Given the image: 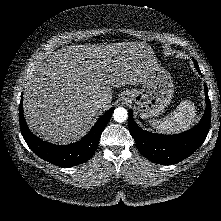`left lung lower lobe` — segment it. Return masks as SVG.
<instances>
[{
	"label": "left lung lower lobe",
	"mask_w": 221,
	"mask_h": 221,
	"mask_svg": "<svg viewBox=\"0 0 221 221\" xmlns=\"http://www.w3.org/2000/svg\"><path fill=\"white\" fill-rule=\"evenodd\" d=\"M198 71L199 67H196ZM206 111L194 128L176 135H162L141 129L129 110L128 127L140 153L150 161L171 165L193 154L204 142L210 128L211 106L205 85Z\"/></svg>",
	"instance_id": "0a47b994"
}]
</instances>
